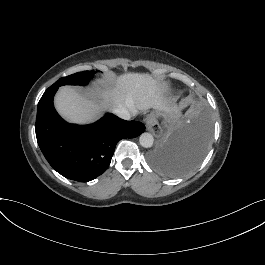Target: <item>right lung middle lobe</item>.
<instances>
[{
  "label": "right lung middle lobe",
  "instance_id": "right-lung-middle-lobe-1",
  "mask_svg": "<svg viewBox=\"0 0 265 265\" xmlns=\"http://www.w3.org/2000/svg\"><path fill=\"white\" fill-rule=\"evenodd\" d=\"M95 71H83L72 74L67 77H62L56 81L52 86H62V85H86L89 79L95 74Z\"/></svg>",
  "mask_w": 265,
  "mask_h": 265
}]
</instances>
